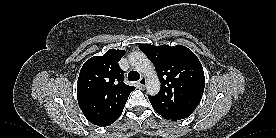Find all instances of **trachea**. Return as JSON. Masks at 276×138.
<instances>
[{
  "instance_id": "obj_1",
  "label": "trachea",
  "mask_w": 276,
  "mask_h": 138,
  "mask_svg": "<svg viewBox=\"0 0 276 138\" xmlns=\"http://www.w3.org/2000/svg\"><path fill=\"white\" fill-rule=\"evenodd\" d=\"M140 79V74L136 71H130L128 73V80L129 81H137Z\"/></svg>"
}]
</instances>
